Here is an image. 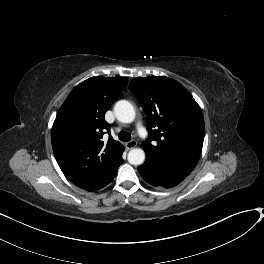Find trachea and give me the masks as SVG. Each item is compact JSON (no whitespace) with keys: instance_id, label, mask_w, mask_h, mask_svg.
I'll list each match as a JSON object with an SVG mask.
<instances>
[{"instance_id":"obj_1","label":"trachea","mask_w":264,"mask_h":264,"mask_svg":"<svg viewBox=\"0 0 264 264\" xmlns=\"http://www.w3.org/2000/svg\"><path fill=\"white\" fill-rule=\"evenodd\" d=\"M119 139L123 142H128L131 140V135L126 131L119 132Z\"/></svg>"}]
</instances>
